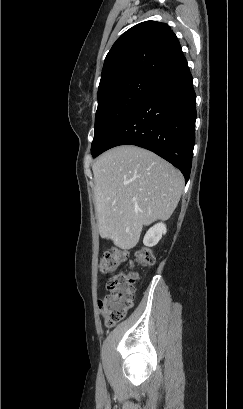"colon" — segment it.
<instances>
[{
	"label": "colon",
	"mask_w": 243,
	"mask_h": 409,
	"mask_svg": "<svg viewBox=\"0 0 243 409\" xmlns=\"http://www.w3.org/2000/svg\"><path fill=\"white\" fill-rule=\"evenodd\" d=\"M126 257L127 253L124 250L111 248L100 259V272L103 274L115 272ZM134 261L143 267L153 266L152 250L147 247L138 249L134 253ZM138 280L139 274L131 269L126 272H118L108 281L107 289L110 294L99 300V309L107 328L114 327L132 307L135 284Z\"/></svg>",
	"instance_id": "5ec220e1"
}]
</instances>
